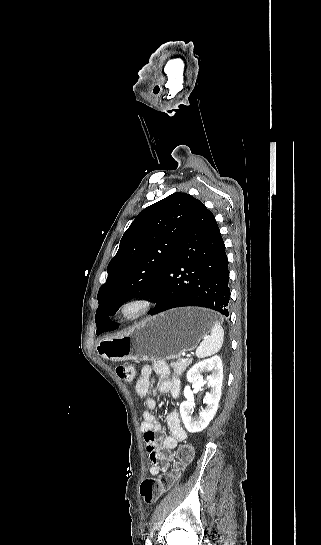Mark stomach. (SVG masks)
I'll return each mask as SVG.
<instances>
[{"label": "stomach", "instance_id": "0dacf381", "mask_svg": "<svg viewBox=\"0 0 321 545\" xmlns=\"http://www.w3.org/2000/svg\"><path fill=\"white\" fill-rule=\"evenodd\" d=\"M214 311L201 307H183L147 317L124 335L101 339L98 349L110 361H153L176 359L193 351L206 337Z\"/></svg>", "mask_w": 321, "mask_h": 545}]
</instances>
